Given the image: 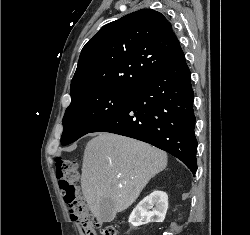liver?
I'll return each mask as SVG.
<instances>
[{
	"label": "liver",
	"mask_w": 250,
	"mask_h": 235,
	"mask_svg": "<svg viewBox=\"0 0 250 235\" xmlns=\"http://www.w3.org/2000/svg\"><path fill=\"white\" fill-rule=\"evenodd\" d=\"M168 162L165 152L114 133H99L86 145L81 187L91 213L100 220V206L111 198L116 212L127 209L151 178Z\"/></svg>",
	"instance_id": "obj_1"
}]
</instances>
